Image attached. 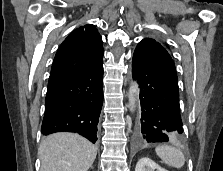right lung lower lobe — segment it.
<instances>
[{"mask_svg":"<svg viewBox=\"0 0 223 171\" xmlns=\"http://www.w3.org/2000/svg\"><path fill=\"white\" fill-rule=\"evenodd\" d=\"M103 62L90 71L48 84L41 132H76L97 141L103 104Z\"/></svg>","mask_w":223,"mask_h":171,"instance_id":"98d812e1","label":"right lung lower lobe"}]
</instances>
